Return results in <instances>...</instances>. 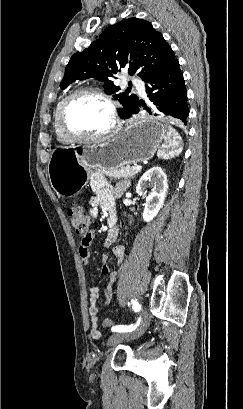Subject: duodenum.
Returning a JSON list of instances; mask_svg holds the SVG:
<instances>
[{"instance_id": "obj_1", "label": "duodenum", "mask_w": 243, "mask_h": 409, "mask_svg": "<svg viewBox=\"0 0 243 409\" xmlns=\"http://www.w3.org/2000/svg\"><path fill=\"white\" fill-rule=\"evenodd\" d=\"M108 226L110 231H112L116 227V218L112 214L109 217Z\"/></svg>"}]
</instances>
